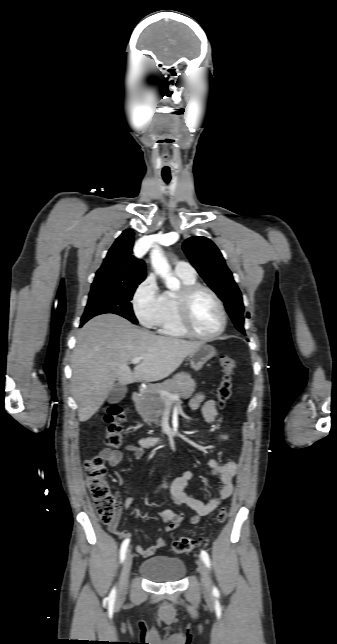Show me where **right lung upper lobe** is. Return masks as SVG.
Listing matches in <instances>:
<instances>
[{
  "instance_id": "obj_1",
  "label": "right lung upper lobe",
  "mask_w": 337,
  "mask_h": 644,
  "mask_svg": "<svg viewBox=\"0 0 337 644\" xmlns=\"http://www.w3.org/2000/svg\"><path fill=\"white\" fill-rule=\"evenodd\" d=\"M134 232L125 230L108 251L93 284L135 283L146 277L145 263L132 255Z\"/></svg>"
}]
</instances>
